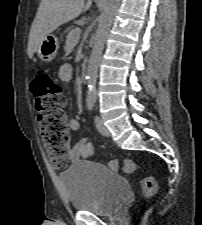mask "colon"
I'll return each instance as SVG.
<instances>
[{"instance_id":"1","label":"colon","mask_w":202,"mask_h":225,"mask_svg":"<svg viewBox=\"0 0 202 225\" xmlns=\"http://www.w3.org/2000/svg\"><path fill=\"white\" fill-rule=\"evenodd\" d=\"M31 88L36 98L37 128L45 148L56 166H66L71 137L65 115L62 86L48 70L39 68ZM109 166L114 171L125 173H132L136 169V163L131 159H114L109 162ZM140 188L147 200L154 198L158 191L155 179L150 176L140 181Z\"/></svg>"}]
</instances>
